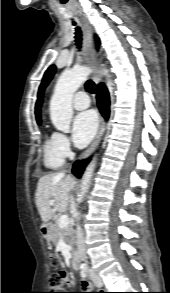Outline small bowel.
Returning <instances> with one entry per match:
<instances>
[{
    "mask_svg": "<svg viewBox=\"0 0 170 293\" xmlns=\"http://www.w3.org/2000/svg\"><path fill=\"white\" fill-rule=\"evenodd\" d=\"M69 285L71 287H73L75 285L74 281H70ZM81 285H82L83 289H90L91 288V286L89 285V283L85 279H82ZM91 293H97V292H91Z\"/></svg>",
    "mask_w": 170,
    "mask_h": 293,
    "instance_id": "1",
    "label": "small bowel"
}]
</instances>
